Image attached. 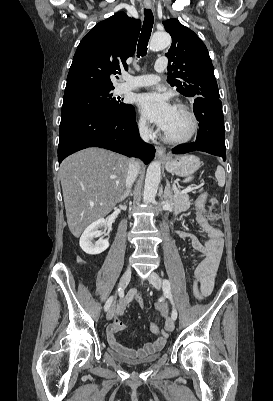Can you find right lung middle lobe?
Returning a JSON list of instances; mask_svg holds the SVG:
<instances>
[{"mask_svg": "<svg viewBox=\"0 0 273 401\" xmlns=\"http://www.w3.org/2000/svg\"><path fill=\"white\" fill-rule=\"evenodd\" d=\"M111 90L81 92L64 96L61 116L77 111H99L120 114L127 104L112 98Z\"/></svg>", "mask_w": 273, "mask_h": 401, "instance_id": "dd1d6c3e", "label": "right lung middle lobe"}]
</instances>
